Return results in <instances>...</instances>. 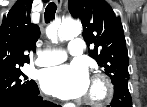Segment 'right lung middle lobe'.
I'll return each mask as SVG.
<instances>
[{
    "mask_svg": "<svg viewBox=\"0 0 147 107\" xmlns=\"http://www.w3.org/2000/svg\"><path fill=\"white\" fill-rule=\"evenodd\" d=\"M36 89V82L27 80V76L20 70L19 66L0 71V103L19 94L33 92Z\"/></svg>",
    "mask_w": 147,
    "mask_h": 107,
    "instance_id": "dd1d6c3e",
    "label": "right lung middle lobe"
}]
</instances>
